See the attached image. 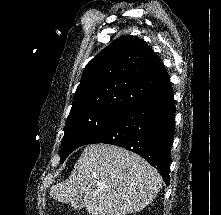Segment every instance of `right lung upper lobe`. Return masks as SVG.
Returning <instances> with one entry per match:
<instances>
[{"label":"right lung upper lobe","instance_id":"right-lung-upper-lobe-1","mask_svg":"<svg viewBox=\"0 0 221 215\" xmlns=\"http://www.w3.org/2000/svg\"><path fill=\"white\" fill-rule=\"evenodd\" d=\"M168 81L163 63L144 41L120 37L86 65L70 114L103 110L122 115Z\"/></svg>","mask_w":221,"mask_h":215}]
</instances>
